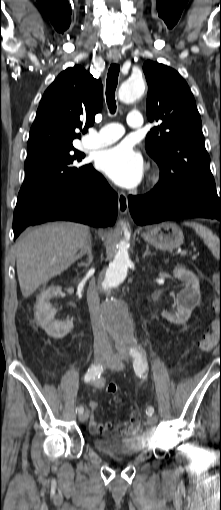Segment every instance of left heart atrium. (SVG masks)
Wrapping results in <instances>:
<instances>
[{"label":"left heart atrium","instance_id":"left-heart-atrium-1","mask_svg":"<svg viewBox=\"0 0 221 510\" xmlns=\"http://www.w3.org/2000/svg\"><path fill=\"white\" fill-rule=\"evenodd\" d=\"M96 164L113 182L126 188L136 186L143 175L141 155L125 143L101 151Z\"/></svg>","mask_w":221,"mask_h":510}]
</instances>
